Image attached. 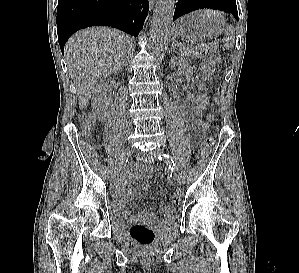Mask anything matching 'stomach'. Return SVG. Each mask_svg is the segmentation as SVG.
<instances>
[{
    "label": "stomach",
    "instance_id": "1",
    "mask_svg": "<svg viewBox=\"0 0 299 273\" xmlns=\"http://www.w3.org/2000/svg\"><path fill=\"white\" fill-rule=\"evenodd\" d=\"M225 19L216 11L200 10L181 17L174 25L176 37L202 42L218 36L225 28Z\"/></svg>",
    "mask_w": 299,
    "mask_h": 273
}]
</instances>
